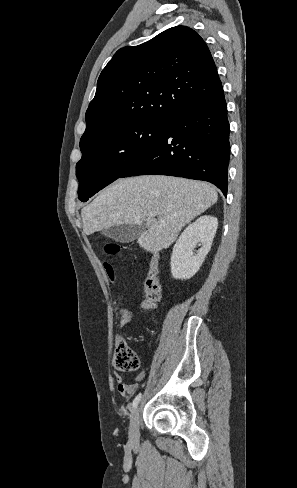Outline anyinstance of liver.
<instances>
[{
  "instance_id": "1",
  "label": "liver",
  "mask_w": 297,
  "mask_h": 488,
  "mask_svg": "<svg viewBox=\"0 0 297 488\" xmlns=\"http://www.w3.org/2000/svg\"><path fill=\"white\" fill-rule=\"evenodd\" d=\"M217 198L215 188L201 181L159 175L118 179L81 210L83 230L90 235L114 225L143 223L137 243L156 253Z\"/></svg>"
}]
</instances>
